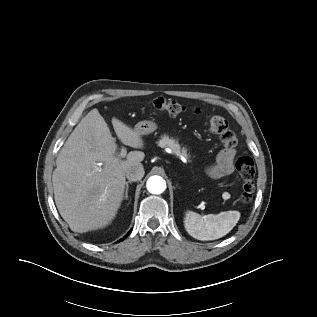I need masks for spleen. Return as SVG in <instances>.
Segmentation results:
<instances>
[{
    "label": "spleen",
    "instance_id": "3e777b00",
    "mask_svg": "<svg viewBox=\"0 0 317 317\" xmlns=\"http://www.w3.org/2000/svg\"><path fill=\"white\" fill-rule=\"evenodd\" d=\"M240 219V212L235 210L219 214L200 215L187 211L184 217L186 231L192 237L202 240H215L228 234Z\"/></svg>",
    "mask_w": 317,
    "mask_h": 317
}]
</instances>
